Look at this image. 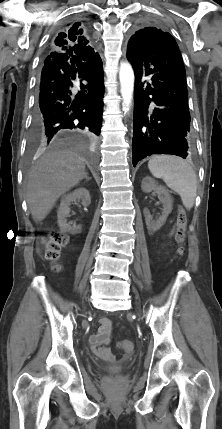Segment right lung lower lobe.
Returning <instances> with one entry per match:
<instances>
[{"label": "right lung lower lobe", "instance_id": "obj_1", "mask_svg": "<svg viewBox=\"0 0 222 429\" xmlns=\"http://www.w3.org/2000/svg\"><path fill=\"white\" fill-rule=\"evenodd\" d=\"M103 66L97 54L79 60L66 53H52L43 62L38 102L31 136L54 143L72 131L99 136L103 113ZM80 79V91H71L72 80Z\"/></svg>", "mask_w": 222, "mask_h": 429}]
</instances>
